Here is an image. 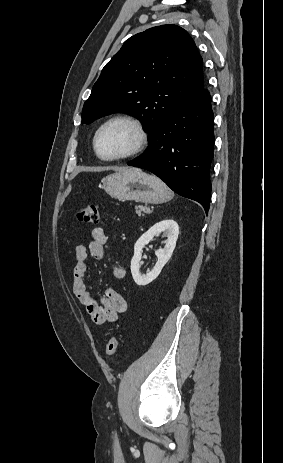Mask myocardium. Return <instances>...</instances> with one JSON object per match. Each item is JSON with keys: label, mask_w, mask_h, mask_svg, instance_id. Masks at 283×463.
Here are the masks:
<instances>
[{"label": "myocardium", "mask_w": 283, "mask_h": 463, "mask_svg": "<svg viewBox=\"0 0 283 463\" xmlns=\"http://www.w3.org/2000/svg\"><path fill=\"white\" fill-rule=\"evenodd\" d=\"M117 122H122L130 125L135 133H136V141L134 146L132 147L131 150H129L126 153L112 156V157H104L99 153L98 150V139L102 131L107 128L109 125L117 123ZM148 143V135L146 132V129L143 125V123L136 117L131 116V115H117L114 117H111L110 119L106 120L95 132L94 138H93V148L94 152L97 155V157L103 161L107 162H113V161H120V160H125L132 158L139 153H141L145 147L147 146Z\"/></svg>", "instance_id": "myocardium-1"}]
</instances>
